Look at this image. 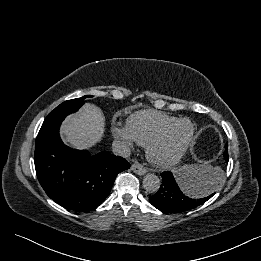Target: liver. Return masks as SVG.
<instances>
[{
  "instance_id": "1",
  "label": "liver",
  "mask_w": 261,
  "mask_h": 261,
  "mask_svg": "<svg viewBox=\"0 0 261 261\" xmlns=\"http://www.w3.org/2000/svg\"><path fill=\"white\" fill-rule=\"evenodd\" d=\"M105 130V118L99 107L85 104L79 112L67 116L61 126L64 142L74 149H88L98 143Z\"/></svg>"
}]
</instances>
